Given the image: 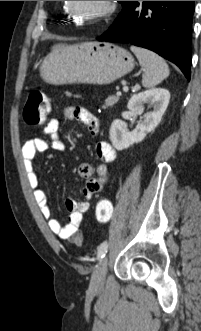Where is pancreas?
<instances>
[{
  "label": "pancreas",
  "mask_w": 201,
  "mask_h": 331,
  "mask_svg": "<svg viewBox=\"0 0 201 331\" xmlns=\"http://www.w3.org/2000/svg\"><path fill=\"white\" fill-rule=\"evenodd\" d=\"M120 99V95H110L108 98L105 100L104 108H108L110 106H113L116 104Z\"/></svg>",
  "instance_id": "1"
}]
</instances>
